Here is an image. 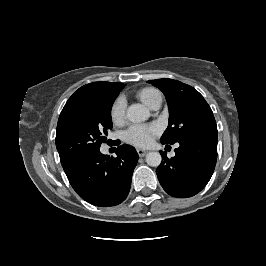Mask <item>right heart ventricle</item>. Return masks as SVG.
<instances>
[{
  "label": "right heart ventricle",
  "instance_id": "right-heart-ventricle-1",
  "mask_svg": "<svg viewBox=\"0 0 266 266\" xmlns=\"http://www.w3.org/2000/svg\"><path fill=\"white\" fill-rule=\"evenodd\" d=\"M137 97L148 107H152L155 103L162 100L161 93L152 87H146L141 89L137 93Z\"/></svg>",
  "mask_w": 266,
  "mask_h": 266
}]
</instances>
